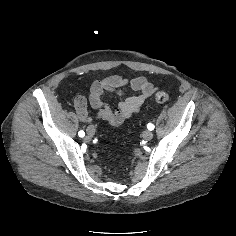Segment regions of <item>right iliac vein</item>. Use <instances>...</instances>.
<instances>
[{"label": "right iliac vein", "instance_id": "right-iliac-vein-1", "mask_svg": "<svg viewBox=\"0 0 236 236\" xmlns=\"http://www.w3.org/2000/svg\"><path fill=\"white\" fill-rule=\"evenodd\" d=\"M86 131L88 137H92L95 134V127L93 125H89Z\"/></svg>", "mask_w": 236, "mask_h": 236}]
</instances>
